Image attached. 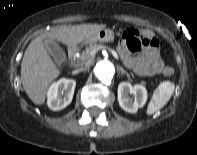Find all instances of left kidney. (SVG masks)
<instances>
[{"instance_id": "1", "label": "left kidney", "mask_w": 197, "mask_h": 155, "mask_svg": "<svg viewBox=\"0 0 197 155\" xmlns=\"http://www.w3.org/2000/svg\"><path fill=\"white\" fill-rule=\"evenodd\" d=\"M129 94L133 95L130 97ZM147 101V90L143 85L132 86L129 82H122L118 86V102L123 110L136 113Z\"/></svg>"}]
</instances>
